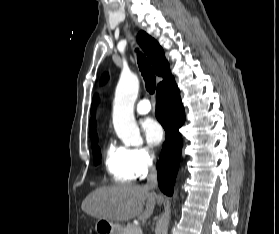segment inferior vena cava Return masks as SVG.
Returning a JSON list of instances; mask_svg holds the SVG:
<instances>
[{
	"label": "inferior vena cava",
	"instance_id": "inferior-vena-cava-1",
	"mask_svg": "<svg viewBox=\"0 0 279 234\" xmlns=\"http://www.w3.org/2000/svg\"><path fill=\"white\" fill-rule=\"evenodd\" d=\"M147 187L155 188L157 186V172L156 169L151 165L148 177H147Z\"/></svg>",
	"mask_w": 279,
	"mask_h": 234
}]
</instances>
